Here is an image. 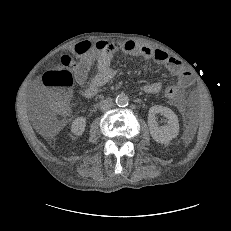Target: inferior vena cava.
Listing matches in <instances>:
<instances>
[{
	"mask_svg": "<svg viewBox=\"0 0 231 231\" xmlns=\"http://www.w3.org/2000/svg\"><path fill=\"white\" fill-rule=\"evenodd\" d=\"M112 106H113V102L110 99H105L100 102V109L103 111L112 108Z\"/></svg>",
	"mask_w": 231,
	"mask_h": 231,
	"instance_id": "obj_1",
	"label": "inferior vena cava"
}]
</instances>
